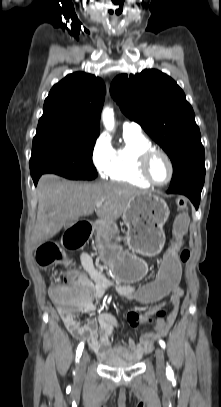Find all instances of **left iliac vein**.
<instances>
[{"label": "left iliac vein", "instance_id": "1", "mask_svg": "<svg viewBox=\"0 0 221 407\" xmlns=\"http://www.w3.org/2000/svg\"><path fill=\"white\" fill-rule=\"evenodd\" d=\"M155 357H156V372L159 377H162L165 373V365H164V353L161 348H157L155 350Z\"/></svg>", "mask_w": 221, "mask_h": 407}]
</instances>
